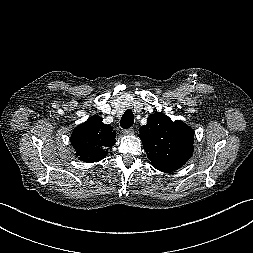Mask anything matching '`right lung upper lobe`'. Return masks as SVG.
I'll use <instances>...</instances> for the list:
<instances>
[{
	"mask_svg": "<svg viewBox=\"0 0 253 253\" xmlns=\"http://www.w3.org/2000/svg\"><path fill=\"white\" fill-rule=\"evenodd\" d=\"M115 138L113 128L104 124L102 118L97 115L78 125L70 140L79 160L94 163L106 157L108 148L115 144Z\"/></svg>",
	"mask_w": 253,
	"mask_h": 253,
	"instance_id": "right-lung-upper-lobe-1",
	"label": "right lung upper lobe"
}]
</instances>
